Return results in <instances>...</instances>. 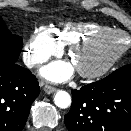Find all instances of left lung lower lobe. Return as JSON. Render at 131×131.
Listing matches in <instances>:
<instances>
[{
  "label": "left lung lower lobe",
  "mask_w": 131,
  "mask_h": 131,
  "mask_svg": "<svg viewBox=\"0 0 131 131\" xmlns=\"http://www.w3.org/2000/svg\"><path fill=\"white\" fill-rule=\"evenodd\" d=\"M69 131H131V79H107L72 90Z\"/></svg>",
  "instance_id": "left-lung-lower-lobe-1"
}]
</instances>
